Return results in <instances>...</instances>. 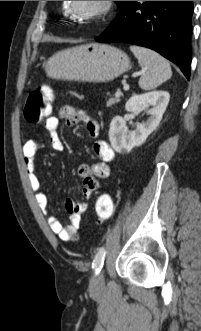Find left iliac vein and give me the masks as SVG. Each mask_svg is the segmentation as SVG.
I'll list each match as a JSON object with an SVG mask.
<instances>
[{"mask_svg":"<svg viewBox=\"0 0 201 331\" xmlns=\"http://www.w3.org/2000/svg\"><path fill=\"white\" fill-rule=\"evenodd\" d=\"M103 273L104 272L101 271L92 278V280L90 282V289L92 291H99V290L103 289V287L105 285Z\"/></svg>","mask_w":201,"mask_h":331,"instance_id":"4c4485c4","label":"left iliac vein"}]
</instances>
